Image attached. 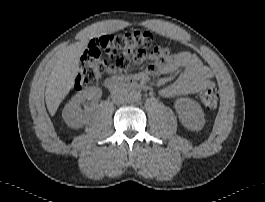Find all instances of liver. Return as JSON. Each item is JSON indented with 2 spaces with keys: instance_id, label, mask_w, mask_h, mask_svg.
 Instances as JSON below:
<instances>
[{
  "instance_id": "liver-1",
  "label": "liver",
  "mask_w": 265,
  "mask_h": 202,
  "mask_svg": "<svg viewBox=\"0 0 265 202\" xmlns=\"http://www.w3.org/2000/svg\"><path fill=\"white\" fill-rule=\"evenodd\" d=\"M88 41L76 42L64 49L49 74L46 84L45 100L47 109L54 116L60 103L72 89L79 71V59Z\"/></svg>"
}]
</instances>
